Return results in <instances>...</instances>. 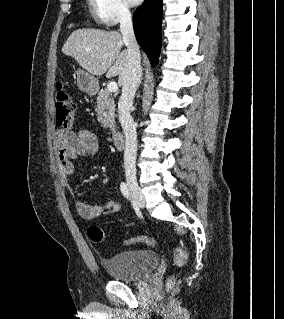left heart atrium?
<instances>
[{"label":"left heart atrium","instance_id":"obj_1","mask_svg":"<svg viewBox=\"0 0 284 319\" xmlns=\"http://www.w3.org/2000/svg\"><path fill=\"white\" fill-rule=\"evenodd\" d=\"M143 0H126V2L131 5V6H135L138 5L142 2Z\"/></svg>","mask_w":284,"mask_h":319}]
</instances>
